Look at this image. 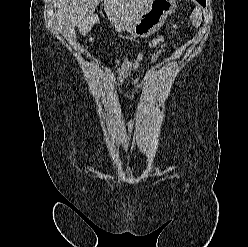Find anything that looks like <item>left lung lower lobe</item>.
Instances as JSON below:
<instances>
[{
    "mask_svg": "<svg viewBox=\"0 0 248 247\" xmlns=\"http://www.w3.org/2000/svg\"><path fill=\"white\" fill-rule=\"evenodd\" d=\"M202 6L205 7L206 5V0H197Z\"/></svg>",
    "mask_w": 248,
    "mask_h": 247,
    "instance_id": "left-lung-lower-lobe-1",
    "label": "left lung lower lobe"
}]
</instances>
